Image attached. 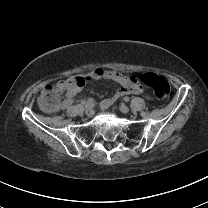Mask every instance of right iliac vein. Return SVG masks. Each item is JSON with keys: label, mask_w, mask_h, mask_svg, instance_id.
Returning <instances> with one entry per match:
<instances>
[{"label": "right iliac vein", "mask_w": 208, "mask_h": 208, "mask_svg": "<svg viewBox=\"0 0 208 208\" xmlns=\"http://www.w3.org/2000/svg\"><path fill=\"white\" fill-rule=\"evenodd\" d=\"M93 104H86L85 105V111L86 113H90L92 111Z\"/></svg>", "instance_id": "1"}]
</instances>
